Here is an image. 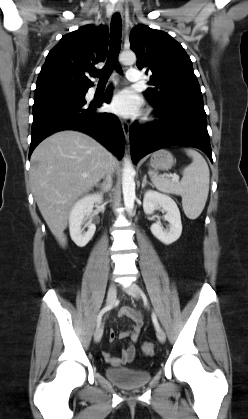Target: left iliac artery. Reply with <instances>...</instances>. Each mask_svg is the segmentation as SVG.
<instances>
[{
	"label": "left iliac artery",
	"instance_id": "44dca946",
	"mask_svg": "<svg viewBox=\"0 0 248 419\" xmlns=\"http://www.w3.org/2000/svg\"><path fill=\"white\" fill-rule=\"evenodd\" d=\"M152 320H153V323H154V326H155L156 330H158L159 329V323H158L157 317L154 313L152 315Z\"/></svg>",
	"mask_w": 248,
	"mask_h": 419
}]
</instances>
